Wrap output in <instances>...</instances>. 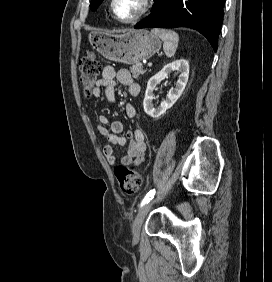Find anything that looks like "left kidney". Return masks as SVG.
Here are the masks:
<instances>
[{
	"instance_id": "left-kidney-1",
	"label": "left kidney",
	"mask_w": 272,
	"mask_h": 282,
	"mask_svg": "<svg viewBox=\"0 0 272 282\" xmlns=\"http://www.w3.org/2000/svg\"><path fill=\"white\" fill-rule=\"evenodd\" d=\"M172 71H177L180 73L179 79L176 82L174 88L170 89L167 94L166 100H164L160 106L157 108L152 104V100L154 99L153 91L158 83H160L165 78H168V75ZM189 78V63L185 59H179L173 61L165 65L161 71H159L156 75L152 76L147 83V88L145 91V98L143 101L144 111L147 115L152 118H159L163 115L168 109H170L175 102L179 99L181 94L183 93L186 84Z\"/></svg>"
}]
</instances>
